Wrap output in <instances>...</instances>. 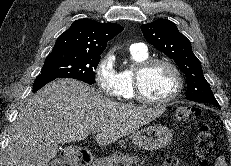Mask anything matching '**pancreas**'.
I'll return each mask as SVG.
<instances>
[{
  "label": "pancreas",
  "instance_id": "cf45deb5",
  "mask_svg": "<svg viewBox=\"0 0 231 166\" xmlns=\"http://www.w3.org/2000/svg\"><path fill=\"white\" fill-rule=\"evenodd\" d=\"M140 161L139 157L130 156L121 152H113L109 156L97 158L92 166H133Z\"/></svg>",
  "mask_w": 231,
  "mask_h": 166
}]
</instances>
